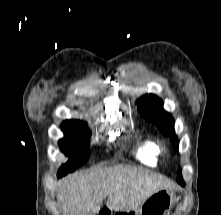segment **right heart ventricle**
<instances>
[{
  "mask_svg": "<svg viewBox=\"0 0 221 215\" xmlns=\"http://www.w3.org/2000/svg\"><path fill=\"white\" fill-rule=\"evenodd\" d=\"M132 154L143 164L152 166L156 162V145L149 137L137 133L132 142Z\"/></svg>",
  "mask_w": 221,
  "mask_h": 215,
  "instance_id": "obj_1",
  "label": "right heart ventricle"
}]
</instances>
